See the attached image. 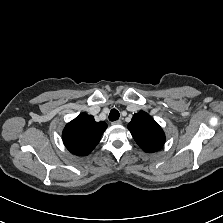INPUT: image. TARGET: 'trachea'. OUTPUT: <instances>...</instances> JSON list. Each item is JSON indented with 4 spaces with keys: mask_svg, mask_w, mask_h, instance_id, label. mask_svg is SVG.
Here are the masks:
<instances>
[{
    "mask_svg": "<svg viewBox=\"0 0 223 223\" xmlns=\"http://www.w3.org/2000/svg\"><path fill=\"white\" fill-rule=\"evenodd\" d=\"M119 117H120V114H119L118 110L112 109L110 111V113H109V120L110 121H116V120L119 119Z\"/></svg>",
    "mask_w": 223,
    "mask_h": 223,
    "instance_id": "3493384b",
    "label": "trachea"
}]
</instances>
